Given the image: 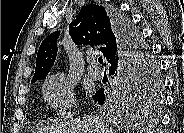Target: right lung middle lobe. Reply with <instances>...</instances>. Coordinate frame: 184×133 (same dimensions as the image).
Listing matches in <instances>:
<instances>
[{
  "instance_id": "right-lung-middle-lobe-1",
  "label": "right lung middle lobe",
  "mask_w": 184,
  "mask_h": 133,
  "mask_svg": "<svg viewBox=\"0 0 184 133\" xmlns=\"http://www.w3.org/2000/svg\"><path fill=\"white\" fill-rule=\"evenodd\" d=\"M124 19L140 49L135 51L136 73L129 78L126 93L117 98L115 105L122 110L134 111L146 107L149 103H155L158 98L154 94L161 90L162 83L158 64L152 59L150 53L146 54L149 50L144 45L140 33L129 19L125 17ZM34 82L36 81L31 83Z\"/></svg>"
}]
</instances>
